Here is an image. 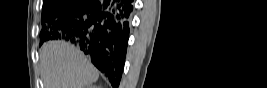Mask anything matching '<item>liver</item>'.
<instances>
[{
    "label": "liver",
    "mask_w": 267,
    "mask_h": 88,
    "mask_svg": "<svg viewBox=\"0 0 267 88\" xmlns=\"http://www.w3.org/2000/svg\"><path fill=\"white\" fill-rule=\"evenodd\" d=\"M44 88H85L99 73L85 55L65 41H49L39 50Z\"/></svg>",
    "instance_id": "1"
}]
</instances>
